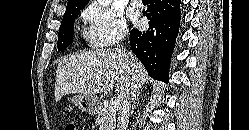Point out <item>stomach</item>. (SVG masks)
I'll use <instances>...</instances> for the list:
<instances>
[{"label":"stomach","instance_id":"obj_1","mask_svg":"<svg viewBox=\"0 0 249 130\" xmlns=\"http://www.w3.org/2000/svg\"><path fill=\"white\" fill-rule=\"evenodd\" d=\"M70 101L81 111L89 114H96L100 107L99 99L96 96L79 94L70 98Z\"/></svg>","mask_w":249,"mask_h":130}]
</instances>
